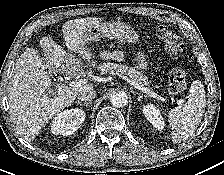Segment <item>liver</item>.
Instances as JSON below:
<instances>
[{"label": "liver", "mask_w": 224, "mask_h": 175, "mask_svg": "<svg viewBox=\"0 0 224 175\" xmlns=\"http://www.w3.org/2000/svg\"><path fill=\"white\" fill-rule=\"evenodd\" d=\"M99 23L100 18L86 17L69 20L62 26L65 44L74 54L66 53L47 36L40 40L44 59L48 60L46 64L34 48H27L16 62L9 82L8 102L12 121L25 140L33 141L53 116L74 102L79 90L93 88L87 82L76 87L57 84V94L51 97L45 93L52 84L50 73L60 71L66 76H77L83 69L82 61L91 68L97 67L87 46L86 33ZM76 54L79 59H75Z\"/></svg>", "instance_id": "liver-1"}]
</instances>
